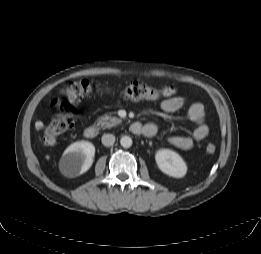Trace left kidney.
<instances>
[{
  "label": "left kidney",
  "instance_id": "obj_1",
  "mask_svg": "<svg viewBox=\"0 0 261 254\" xmlns=\"http://www.w3.org/2000/svg\"><path fill=\"white\" fill-rule=\"evenodd\" d=\"M155 160L159 169L166 175L174 178H182L187 173V166L182 157L168 149H162L156 152Z\"/></svg>",
  "mask_w": 261,
  "mask_h": 254
}]
</instances>
